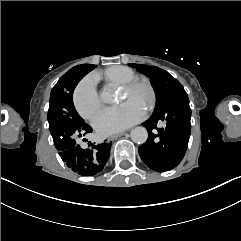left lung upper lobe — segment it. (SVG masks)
Wrapping results in <instances>:
<instances>
[{
	"label": "left lung upper lobe",
	"mask_w": 241,
	"mask_h": 241,
	"mask_svg": "<svg viewBox=\"0 0 241 241\" xmlns=\"http://www.w3.org/2000/svg\"><path fill=\"white\" fill-rule=\"evenodd\" d=\"M129 66L136 68L137 71L150 78L157 98L154 112L158 111L174 97L187 94L180 82L163 69L143 64H129Z\"/></svg>",
	"instance_id": "left-lung-upper-lobe-1"
}]
</instances>
